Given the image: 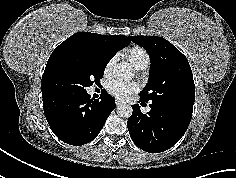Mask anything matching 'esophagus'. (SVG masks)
Returning a JSON list of instances; mask_svg holds the SVG:
<instances>
[{
  "label": "esophagus",
  "instance_id": "obj_1",
  "mask_svg": "<svg viewBox=\"0 0 236 178\" xmlns=\"http://www.w3.org/2000/svg\"><path fill=\"white\" fill-rule=\"evenodd\" d=\"M115 103H116V106H119V105H121V104H122V102H121V101H119V100H116V101H115Z\"/></svg>",
  "mask_w": 236,
  "mask_h": 178
}]
</instances>
